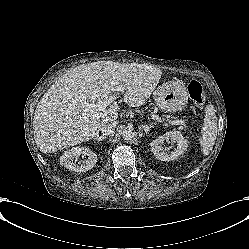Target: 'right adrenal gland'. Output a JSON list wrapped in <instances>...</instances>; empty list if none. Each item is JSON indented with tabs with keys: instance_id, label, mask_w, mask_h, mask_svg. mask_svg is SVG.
<instances>
[{
	"instance_id": "obj_1",
	"label": "right adrenal gland",
	"mask_w": 249,
	"mask_h": 249,
	"mask_svg": "<svg viewBox=\"0 0 249 249\" xmlns=\"http://www.w3.org/2000/svg\"><path fill=\"white\" fill-rule=\"evenodd\" d=\"M104 138H106V136L103 137V138L99 137V138H95V139H97L98 141H100V140H103Z\"/></svg>"
}]
</instances>
